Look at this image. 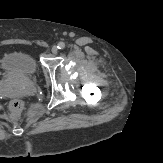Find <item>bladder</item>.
Returning <instances> with one entry per match:
<instances>
[{"label": "bladder", "instance_id": "31cf9c89", "mask_svg": "<svg viewBox=\"0 0 163 163\" xmlns=\"http://www.w3.org/2000/svg\"><path fill=\"white\" fill-rule=\"evenodd\" d=\"M0 69L11 76L29 78L37 74L39 65L31 54L11 51L2 57Z\"/></svg>", "mask_w": 163, "mask_h": 163}]
</instances>
